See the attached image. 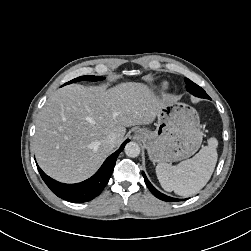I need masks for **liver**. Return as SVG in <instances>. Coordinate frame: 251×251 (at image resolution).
Returning a JSON list of instances; mask_svg holds the SVG:
<instances>
[{"mask_svg": "<svg viewBox=\"0 0 251 251\" xmlns=\"http://www.w3.org/2000/svg\"><path fill=\"white\" fill-rule=\"evenodd\" d=\"M167 99L136 82L111 89L79 84L58 89L36 123L34 149L39 166L65 183L89 178L122 143L126 127L153 122ZM111 133L117 135L114 146L106 142Z\"/></svg>", "mask_w": 251, "mask_h": 251, "instance_id": "1", "label": "liver"}]
</instances>
